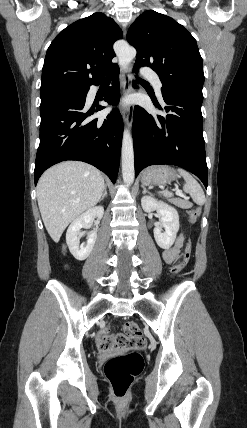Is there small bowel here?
Here are the masks:
<instances>
[{"mask_svg": "<svg viewBox=\"0 0 247 428\" xmlns=\"http://www.w3.org/2000/svg\"><path fill=\"white\" fill-rule=\"evenodd\" d=\"M183 246V237L179 235L174 244L165 249L163 252V259L167 264H173L179 257L180 249Z\"/></svg>", "mask_w": 247, "mask_h": 428, "instance_id": "small-bowel-1", "label": "small bowel"}]
</instances>
